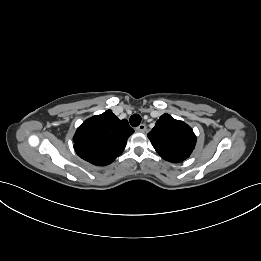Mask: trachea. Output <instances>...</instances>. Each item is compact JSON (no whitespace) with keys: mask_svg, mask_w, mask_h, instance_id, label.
Here are the masks:
<instances>
[{"mask_svg":"<svg viewBox=\"0 0 261 261\" xmlns=\"http://www.w3.org/2000/svg\"><path fill=\"white\" fill-rule=\"evenodd\" d=\"M130 124L133 127H137L141 123V116L139 114H133L130 117Z\"/></svg>","mask_w":261,"mask_h":261,"instance_id":"obj_1","label":"trachea"}]
</instances>
